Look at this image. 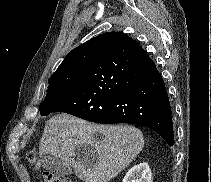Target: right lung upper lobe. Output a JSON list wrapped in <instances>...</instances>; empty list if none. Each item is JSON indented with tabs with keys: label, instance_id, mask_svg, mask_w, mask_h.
<instances>
[{
	"label": "right lung upper lobe",
	"instance_id": "right-lung-upper-lobe-1",
	"mask_svg": "<svg viewBox=\"0 0 211 182\" xmlns=\"http://www.w3.org/2000/svg\"><path fill=\"white\" fill-rule=\"evenodd\" d=\"M96 38L97 37L92 38L89 41L85 42L84 44L73 49L65 57V59L63 60L61 65L56 70V72L60 71L61 69L65 68V67H68V66H74L77 64L85 63V62L88 64ZM132 41H134V40H132Z\"/></svg>",
	"mask_w": 211,
	"mask_h": 182
}]
</instances>
